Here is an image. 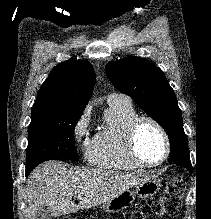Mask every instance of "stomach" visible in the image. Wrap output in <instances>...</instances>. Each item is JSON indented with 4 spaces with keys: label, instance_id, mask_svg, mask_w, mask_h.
Masks as SVG:
<instances>
[{
    "label": "stomach",
    "instance_id": "obj_1",
    "mask_svg": "<svg viewBox=\"0 0 211 219\" xmlns=\"http://www.w3.org/2000/svg\"><path fill=\"white\" fill-rule=\"evenodd\" d=\"M160 188V180L156 176L150 175L143 182L136 185L135 192L126 190L107 201L102 206L103 210L107 213L121 212L133 204L136 195L140 198H148L154 196L160 190Z\"/></svg>",
    "mask_w": 211,
    "mask_h": 219
}]
</instances>
